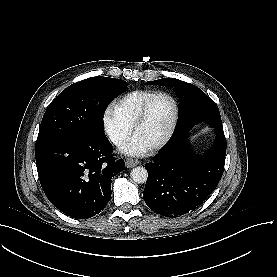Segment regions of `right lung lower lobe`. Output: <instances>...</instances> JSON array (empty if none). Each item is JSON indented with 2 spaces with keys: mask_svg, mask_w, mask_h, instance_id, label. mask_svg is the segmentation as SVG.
<instances>
[{
  "mask_svg": "<svg viewBox=\"0 0 277 277\" xmlns=\"http://www.w3.org/2000/svg\"><path fill=\"white\" fill-rule=\"evenodd\" d=\"M112 148L105 134L36 141L37 171L50 202L73 218L98 214L110 200L112 177L125 169Z\"/></svg>",
  "mask_w": 277,
  "mask_h": 277,
  "instance_id": "1",
  "label": "right lung lower lobe"
}]
</instances>
